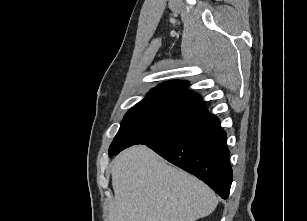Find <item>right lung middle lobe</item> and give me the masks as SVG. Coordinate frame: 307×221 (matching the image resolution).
I'll return each instance as SVG.
<instances>
[{
  "label": "right lung middle lobe",
  "instance_id": "1",
  "mask_svg": "<svg viewBox=\"0 0 307 221\" xmlns=\"http://www.w3.org/2000/svg\"><path fill=\"white\" fill-rule=\"evenodd\" d=\"M205 107L178 102H139L124 116L109 148V156L136 144H149L174 136L207 114Z\"/></svg>",
  "mask_w": 307,
  "mask_h": 221
}]
</instances>
